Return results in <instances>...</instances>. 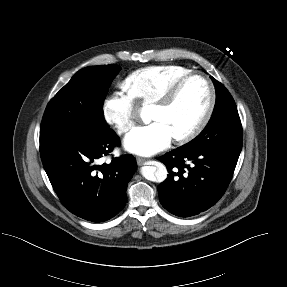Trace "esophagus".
Returning <instances> with one entry per match:
<instances>
[{
  "mask_svg": "<svg viewBox=\"0 0 287 287\" xmlns=\"http://www.w3.org/2000/svg\"><path fill=\"white\" fill-rule=\"evenodd\" d=\"M136 160L138 165H143L146 162V159L142 157H137Z\"/></svg>",
  "mask_w": 287,
  "mask_h": 287,
  "instance_id": "1",
  "label": "esophagus"
}]
</instances>
